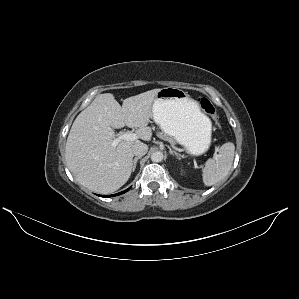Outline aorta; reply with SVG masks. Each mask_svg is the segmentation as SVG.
<instances>
[{"mask_svg": "<svg viewBox=\"0 0 299 299\" xmlns=\"http://www.w3.org/2000/svg\"><path fill=\"white\" fill-rule=\"evenodd\" d=\"M151 160L153 162H161L163 160V153L161 151H156L151 154Z\"/></svg>", "mask_w": 299, "mask_h": 299, "instance_id": "aorta-1", "label": "aorta"}]
</instances>
